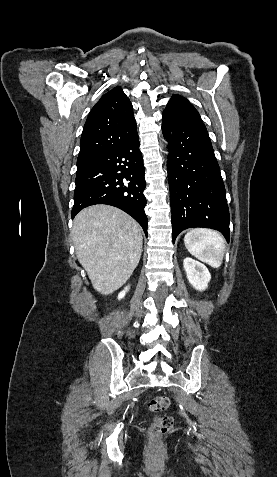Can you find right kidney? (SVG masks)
<instances>
[{
  "label": "right kidney",
  "mask_w": 277,
  "mask_h": 477,
  "mask_svg": "<svg viewBox=\"0 0 277 477\" xmlns=\"http://www.w3.org/2000/svg\"><path fill=\"white\" fill-rule=\"evenodd\" d=\"M128 289H129V287H125V289L119 293V295H118L119 300L122 299L125 296Z\"/></svg>",
  "instance_id": "obj_1"
}]
</instances>
